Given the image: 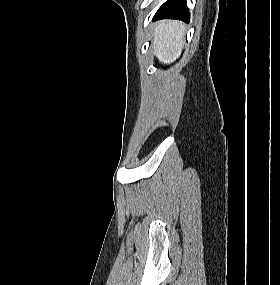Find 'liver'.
<instances>
[{"mask_svg": "<svg viewBox=\"0 0 280 285\" xmlns=\"http://www.w3.org/2000/svg\"><path fill=\"white\" fill-rule=\"evenodd\" d=\"M185 26L179 21H159L153 33L152 49L162 63L169 64L181 54L184 45Z\"/></svg>", "mask_w": 280, "mask_h": 285, "instance_id": "1", "label": "liver"}]
</instances>
